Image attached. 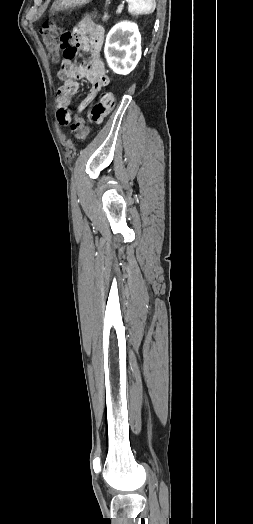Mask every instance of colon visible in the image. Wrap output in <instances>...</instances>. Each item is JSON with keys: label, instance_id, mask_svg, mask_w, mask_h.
<instances>
[{"label": "colon", "instance_id": "obj_1", "mask_svg": "<svg viewBox=\"0 0 253 524\" xmlns=\"http://www.w3.org/2000/svg\"><path fill=\"white\" fill-rule=\"evenodd\" d=\"M62 31L63 29L55 21L45 22L39 31L42 44L44 45L51 59L55 62L61 60L60 55L62 52L58 49L60 44L58 38ZM58 120L61 124L71 122L70 129L73 136L77 140L82 141L86 139L89 128L86 120L83 117H73L72 111L69 108L64 107L58 111Z\"/></svg>", "mask_w": 253, "mask_h": 524}]
</instances>
